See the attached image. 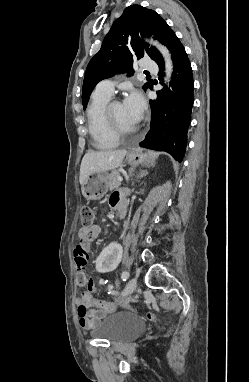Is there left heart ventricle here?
<instances>
[{"label":"left heart ventricle","mask_w":249,"mask_h":382,"mask_svg":"<svg viewBox=\"0 0 249 382\" xmlns=\"http://www.w3.org/2000/svg\"><path fill=\"white\" fill-rule=\"evenodd\" d=\"M112 114L116 123L125 130H133L137 127L135 123L125 112L121 103H116L112 107Z\"/></svg>","instance_id":"left-heart-ventricle-1"}]
</instances>
